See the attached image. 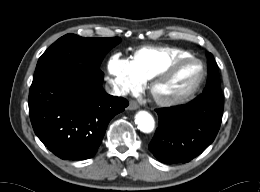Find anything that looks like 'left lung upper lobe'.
I'll use <instances>...</instances> for the list:
<instances>
[{"mask_svg":"<svg viewBox=\"0 0 260 192\" xmlns=\"http://www.w3.org/2000/svg\"><path fill=\"white\" fill-rule=\"evenodd\" d=\"M208 80L203 93L206 92H221L220 78L218 72V66L215 62L213 55L208 53Z\"/></svg>","mask_w":260,"mask_h":192,"instance_id":"obj_1","label":"left lung upper lobe"}]
</instances>
